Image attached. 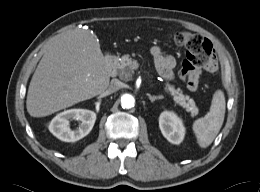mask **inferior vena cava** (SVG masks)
<instances>
[{
  "mask_svg": "<svg viewBox=\"0 0 260 192\" xmlns=\"http://www.w3.org/2000/svg\"><path fill=\"white\" fill-rule=\"evenodd\" d=\"M122 84L123 83L120 80L112 79L111 82H110V85L108 86V88L106 89L104 94L109 95L111 93L118 91L119 89L122 88Z\"/></svg>",
  "mask_w": 260,
  "mask_h": 192,
  "instance_id": "obj_1",
  "label": "inferior vena cava"
}]
</instances>
